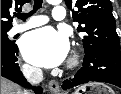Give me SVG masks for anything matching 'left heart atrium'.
Masks as SVG:
<instances>
[{
    "label": "left heart atrium",
    "instance_id": "obj_1",
    "mask_svg": "<svg viewBox=\"0 0 121 94\" xmlns=\"http://www.w3.org/2000/svg\"><path fill=\"white\" fill-rule=\"evenodd\" d=\"M69 43L66 36L52 27H43L28 33L22 42L24 57L32 64L55 67L66 59Z\"/></svg>",
    "mask_w": 121,
    "mask_h": 94
}]
</instances>
